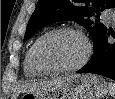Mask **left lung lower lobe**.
Instances as JSON below:
<instances>
[{"label": "left lung lower lobe", "mask_w": 115, "mask_h": 99, "mask_svg": "<svg viewBox=\"0 0 115 99\" xmlns=\"http://www.w3.org/2000/svg\"><path fill=\"white\" fill-rule=\"evenodd\" d=\"M107 35L115 37V33L107 31L100 38L89 62L77 73H94L115 80V43L107 41Z\"/></svg>", "instance_id": "1"}]
</instances>
